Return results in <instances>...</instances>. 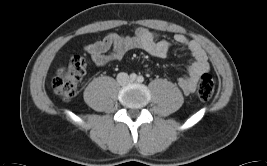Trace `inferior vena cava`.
<instances>
[{"label":"inferior vena cava","mask_w":267,"mask_h":166,"mask_svg":"<svg viewBox=\"0 0 267 166\" xmlns=\"http://www.w3.org/2000/svg\"><path fill=\"white\" fill-rule=\"evenodd\" d=\"M117 81L121 84V85H125L129 82V76L127 73H119L117 75Z\"/></svg>","instance_id":"1"}]
</instances>
